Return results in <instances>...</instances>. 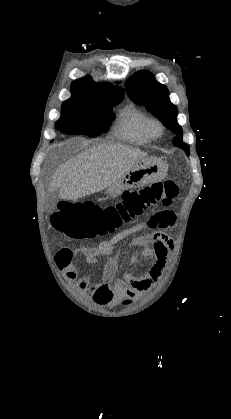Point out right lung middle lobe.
Masks as SVG:
<instances>
[{
  "label": "right lung middle lobe",
  "instance_id": "dd1d6c3e",
  "mask_svg": "<svg viewBox=\"0 0 231 419\" xmlns=\"http://www.w3.org/2000/svg\"><path fill=\"white\" fill-rule=\"evenodd\" d=\"M122 99L100 102L65 101L62 104L61 117L56 122V129L69 135L97 137L106 132L115 117L112 107Z\"/></svg>",
  "mask_w": 231,
  "mask_h": 419
}]
</instances>
